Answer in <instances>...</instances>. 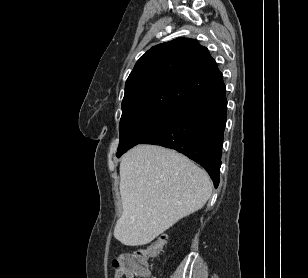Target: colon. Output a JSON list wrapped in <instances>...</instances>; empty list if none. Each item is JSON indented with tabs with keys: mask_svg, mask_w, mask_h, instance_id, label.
<instances>
[{
	"mask_svg": "<svg viewBox=\"0 0 308 278\" xmlns=\"http://www.w3.org/2000/svg\"><path fill=\"white\" fill-rule=\"evenodd\" d=\"M166 241L164 235H160L145 248L132 253L122 252L113 260L116 274L122 278H152L149 270V260L157 256Z\"/></svg>",
	"mask_w": 308,
	"mask_h": 278,
	"instance_id": "1",
	"label": "colon"
}]
</instances>
